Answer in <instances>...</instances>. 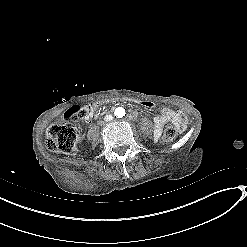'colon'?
I'll return each instance as SVG.
<instances>
[{
    "label": "colon",
    "mask_w": 247,
    "mask_h": 247,
    "mask_svg": "<svg viewBox=\"0 0 247 247\" xmlns=\"http://www.w3.org/2000/svg\"><path fill=\"white\" fill-rule=\"evenodd\" d=\"M141 105L148 110L155 107V102L141 100ZM90 112L89 105H76L65 112L64 120L51 125L46 132L45 145L50 151L72 155L77 151L78 127L86 122ZM178 135L177 128L169 124L163 134L165 141H173Z\"/></svg>",
    "instance_id": "obj_1"
}]
</instances>
